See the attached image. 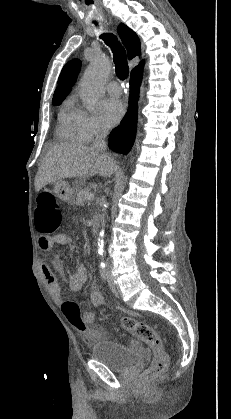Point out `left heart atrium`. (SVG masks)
I'll list each match as a JSON object with an SVG mask.
<instances>
[{"label":"left heart atrium","mask_w":231,"mask_h":419,"mask_svg":"<svg viewBox=\"0 0 231 419\" xmlns=\"http://www.w3.org/2000/svg\"><path fill=\"white\" fill-rule=\"evenodd\" d=\"M124 106L118 99H107L102 103V118L106 126L116 125L124 115Z\"/></svg>","instance_id":"39dd6f15"}]
</instances>
